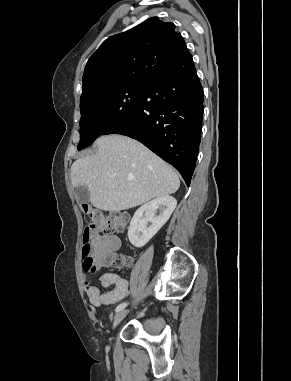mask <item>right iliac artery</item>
Wrapping results in <instances>:
<instances>
[{
  "label": "right iliac artery",
  "mask_w": 291,
  "mask_h": 381,
  "mask_svg": "<svg viewBox=\"0 0 291 381\" xmlns=\"http://www.w3.org/2000/svg\"><path fill=\"white\" fill-rule=\"evenodd\" d=\"M128 303L124 302V303H121L119 304L117 307H116V312H119L121 311L122 309H124L126 306H127Z\"/></svg>",
  "instance_id": "right-iliac-artery-1"
}]
</instances>
